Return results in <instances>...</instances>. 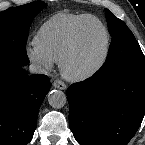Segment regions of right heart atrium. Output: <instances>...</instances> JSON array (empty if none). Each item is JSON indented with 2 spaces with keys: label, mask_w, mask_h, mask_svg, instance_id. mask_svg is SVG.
<instances>
[{
  "label": "right heart atrium",
  "mask_w": 145,
  "mask_h": 145,
  "mask_svg": "<svg viewBox=\"0 0 145 145\" xmlns=\"http://www.w3.org/2000/svg\"><path fill=\"white\" fill-rule=\"evenodd\" d=\"M26 55L39 70H50L53 67L54 61L35 46L27 47Z\"/></svg>",
  "instance_id": "d8ad5b80"
}]
</instances>
